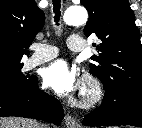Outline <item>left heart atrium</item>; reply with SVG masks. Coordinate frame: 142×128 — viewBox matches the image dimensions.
I'll list each match as a JSON object with an SVG mask.
<instances>
[{
    "label": "left heart atrium",
    "mask_w": 142,
    "mask_h": 128,
    "mask_svg": "<svg viewBox=\"0 0 142 128\" xmlns=\"http://www.w3.org/2000/svg\"><path fill=\"white\" fill-rule=\"evenodd\" d=\"M44 84L56 93L65 95L78 87L76 72L65 61L57 60L43 72Z\"/></svg>",
    "instance_id": "left-heart-atrium-1"
}]
</instances>
